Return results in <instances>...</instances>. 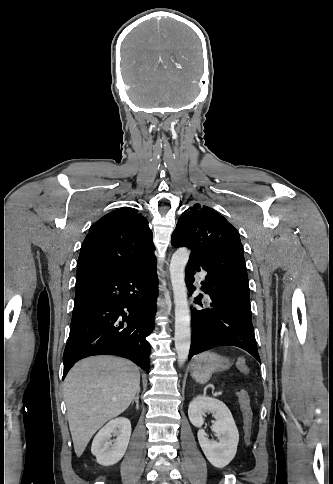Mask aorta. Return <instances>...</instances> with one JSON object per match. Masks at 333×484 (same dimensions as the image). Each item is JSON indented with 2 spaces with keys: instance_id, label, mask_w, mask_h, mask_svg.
Listing matches in <instances>:
<instances>
[{
  "instance_id": "762f6f07",
  "label": "aorta",
  "mask_w": 333,
  "mask_h": 484,
  "mask_svg": "<svg viewBox=\"0 0 333 484\" xmlns=\"http://www.w3.org/2000/svg\"><path fill=\"white\" fill-rule=\"evenodd\" d=\"M189 255L187 248H178L171 258L169 268L175 304V349L180 366L187 360L191 344L190 310L185 284V267Z\"/></svg>"
}]
</instances>
